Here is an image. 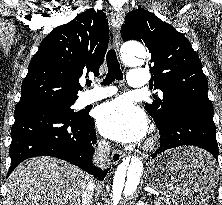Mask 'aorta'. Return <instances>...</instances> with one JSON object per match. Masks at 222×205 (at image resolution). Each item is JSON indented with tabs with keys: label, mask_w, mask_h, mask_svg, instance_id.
<instances>
[{
	"label": "aorta",
	"mask_w": 222,
	"mask_h": 205,
	"mask_svg": "<svg viewBox=\"0 0 222 205\" xmlns=\"http://www.w3.org/2000/svg\"><path fill=\"white\" fill-rule=\"evenodd\" d=\"M147 56L144 46L137 42L127 43L123 47L122 59L130 66H138ZM144 163L138 156L127 157L118 166L112 181L110 201L118 205L133 196L143 175Z\"/></svg>",
	"instance_id": "1"
}]
</instances>
